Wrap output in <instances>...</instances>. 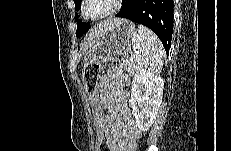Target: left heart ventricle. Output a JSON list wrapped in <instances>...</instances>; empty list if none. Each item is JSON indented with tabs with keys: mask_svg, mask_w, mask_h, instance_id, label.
Here are the masks:
<instances>
[{
	"mask_svg": "<svg viewBox=\"0 0 231 151\" xmlns=\"http://www.w3.org/2000/svg\"><path fill=\"white\" fill-rule=\"evenodd\" d=\"M108 8V0H91L87 7V13L90 15L99 14Z\"/></svg>",
	"mask_w": 231,
	"mask_h": 151,
	"instance_id": "1",
	"label": "left heart ventricle"
}]
</instances>
